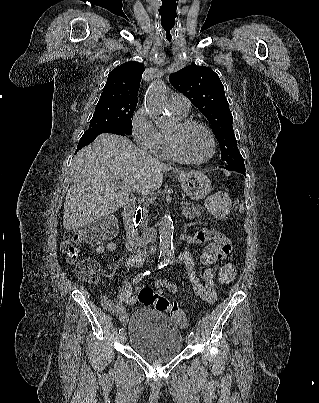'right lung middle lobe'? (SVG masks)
<instances>
[{"mask_svg": "<svg viewBox=\"0 0 319 403\" xmlns=\"http://www.w3.org/2000/svg\"><path fill=\"white\" fill-rule=\"evenodd\" d=\"M136 105L98 103L90 121V128L118 127L132 133V116Z\"/></svg>", "mask_w": 319, "mask_h": 403, "instance_id": "right-lung-middle-lobe-1", "label": "right lung middle lobe"}]
</instances>
